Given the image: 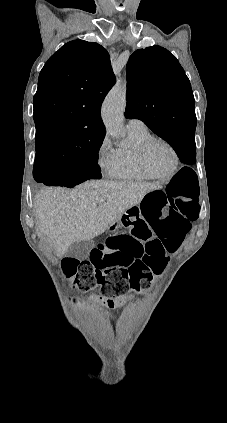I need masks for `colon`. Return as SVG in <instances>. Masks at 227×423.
I'll return each mask as SVG.
<instances>
[{"label": "colon", "mask_w": 227, "mask_h": 423, "mask_svg": "<svg viewBox=\"0 0 227 423\" xmlns=\"http://www.w3.org/2000/svg\"><path fill=\"white\" fill-rule=\"evenodd\" d=\"M199 207L196 175L181 170L164 188L146 195L142 213L150 228L136 221L130 233L99 244L90 259H65L63 269L83 292L94 283L102 293L114 297L146 288L163 272L167 253L174 252L186 238Z\"/></svg>", "instance_id": "1"}]
</instances>
